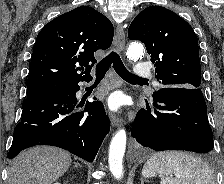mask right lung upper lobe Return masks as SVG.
I'll return each instance as SVG.
<instances>
[{"instance_id": "right-lung-upper-lobe-1", "label": "right lung upper lobe", "mask_w": 224, "mask_h": 184, "mask_svg": "<svg viewBox=\"0 0 224 184\" xmlns=\"http://www.w3.org/2000/svg\"><path fill=\"white\" fill-rule=\"evenodd\" d=\"M110 20L89 6H80L47 23L33 48L27 86H56L91 79L94 52L111 46ZM89 63H92L89 65ZM80 64V67H76Z\"/></svg>"}]
</instances>
